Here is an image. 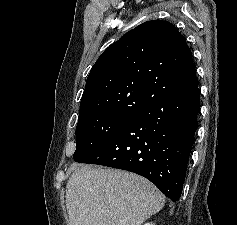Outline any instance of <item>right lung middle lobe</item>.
I'll return each instance as SVG.
<instances>
[{"instance_id": "dd1d6c3e", "label": "right lung middle lobe", "mask_w": 237, "mask_h": 225, "mask_svg": "<svg viewBox=\"0 0 237 225\" xmlns=\"http://www.w3.org/2000/svg\"><path fill=\"white\" fill-rule=\"evenodd\" d=\"M134 115H101L78 119L75 161L84 158L125 126Z\"/></svg>"}]
</instances>
